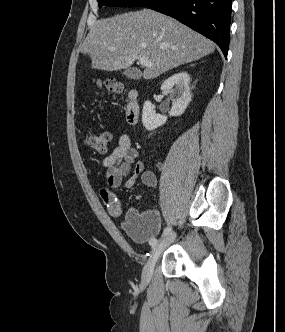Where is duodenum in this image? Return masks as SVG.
Wrapping results in <instances>:
<instances>
[{"label": "duodenum", "instance_id": "1", "mask_svg": "<svg viewBox=\"0 0 285 332\" xmlns=\"http://www.w3.org/2000/svg\"><path fill=\"white\" fill-rule=\"evenodd\" d=\"M139 114H140V104L138 101V92L136 90H131L125 108L126 121L131 125L136 124L139 119Z\"/></svg>", "mask_w": 285, "mask_h": 332}]
</instances>
